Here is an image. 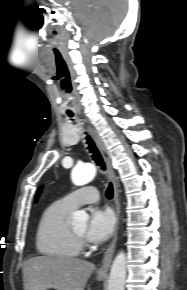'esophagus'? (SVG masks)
<instances>
[{
  "instance_id": "esophagus-1",
  "label": "esophagus",
  "mask_w": 187,
  "mask_h": 290,
  "mask_svg": "<svg viewBox=\"0 0 187 290\" xmlns=\"http://www.w3.org/2000/svg\"><path fill=\"white\" fill-rule=\"evenodd\" d=\"M92 138L94 139L98 149L100 150L103 159L106 163L107 166V171L110 177V180L112 181L113 184V189H114V203H115V211H116V216H117V226H116V230H115V234L113 237V240L111 242V244L109 245L107 251L105 252L102 264L100 266V268L98 269L97 273L99 275H106L108 272V269L110 267L111 264V260L115 251V247H116V242H117V238H118V227H119V215H120V204H119V198H118V189H117V182H116V177H115V173H114V169L112 166V160H111V156L103 142V140L101 139V137L98 135V133L96 132L95 129H93L91 126H87Z\"/></svg>"
}]
</instances>
